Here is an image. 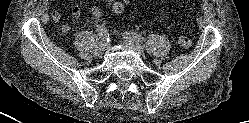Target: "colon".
I'll return each instance as SVG.
<instances>
[{"instance_id": "colon-1", "label": "colon", "mask_w": 249, "mask_h": 123, "mask_svg": "<svg viewBox=\"0 0 249 123\" xmlns=\"http://www.w3.org/2000/svg\"><path fill=\"white\" fill-rule=\"evenodd\" d=\"M121 9L118 5H111L110 6V11L111 12H114V13H117L119 12ZM178 44L182 47V48H189L192 44V40L191 38H189L188 36L186 35H180L178 37Z\"/></svg>"}]
</instances>
